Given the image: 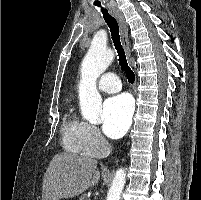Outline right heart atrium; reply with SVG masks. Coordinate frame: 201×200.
<instances>
[{"label":"right heart atrium","mask_w":201,"mask_h":200,"mask_svg":"<svg viewBox=\"0 0 201 200\" xmlns=\"http://www.w3.org/2000/svg\"><path fill=\"white\" fill-rule=\"evenodd\" d=\"M82 135L84 147L88 154L100 156L105 153L108 143L95 125L83 122Z\"/></svg>","instance_id":"d8ad5b80"}]
</instances>
